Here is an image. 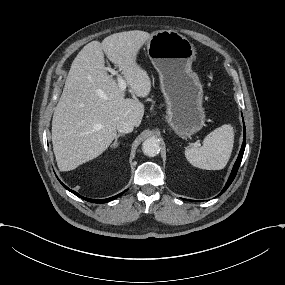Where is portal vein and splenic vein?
I'll return each mask as SVG.
<instances>
[{"label":"portal vein and splenic vein","instance_id":"portal-vein-and-splenic-vein-1","mask_svg":"<svg viewBox=\"0 0 285 285\" xmlns=\"http://www.w3.org/2000/svg\"><path fill=\"white\" fill-rule=\"evenodd\" d=\"M122 69L119 68V69H113V68H109L108 71L109 73L112 75V76H115L116 77V80L118 82V87L121 88V89H125L126 88V85H127V82L126 80L124 79V77L120 74V71Z\"/></svg>","mask_w":285,"mask_h":285}]
</instances>
